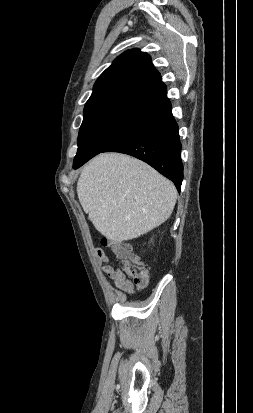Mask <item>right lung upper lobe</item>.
<instances>
[{
  "instance_id": "right-lung-upper-lobe-1",
  "label": "right lung upper lobe",
  "mask_w": 253,
  "mask_h": 413,
  "mask_svg": "<svg viewBox=\"0 0 253 413\" xmlns=\"http://www.w3.org/2000/svg\"><path fill=\"white\" fill-rule=\"evenodd\" d=\"M170 105L166 86L150 56L138 49L121 54L97 79L84 119L111 112L151 116Z\"/></svg>"
}]
</instances>
